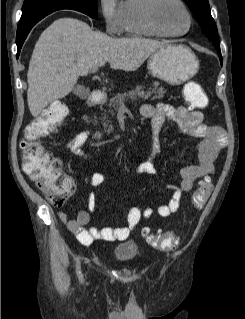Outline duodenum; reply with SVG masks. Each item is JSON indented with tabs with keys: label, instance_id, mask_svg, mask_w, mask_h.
<instances>
[{
	"label": "duodenum",
	"instance_id": "1",
	"mask_svg": "<svg viewBox=\"0 0 245 319\" xmlns=\"http://www.w3.org/2000/svg\"><path fill=\"white\" fill-rule=\"evenodd\" d=\"M103 94L101 91L99 90H93L90 95H89V98L87 100V104L88 106L90 107H93V106H97V105H100L102 102H103ZM84 121L86 124L88 125H91L92 124V120L90 117L88 116H85L84 117ZM97 137V136H96Z\"/></svg>",
	"mask_w": 245,
	"mask_h": 319
}]
</instances>
